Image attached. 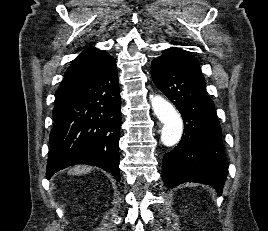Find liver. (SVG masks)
<instances>
[{"mask_svg":"<svg viewBox=\"0 0 268 231\" xmlns=\"http://www.w3.org/2000/svg\"><path fill=\"white\" fill-rule=\"evenodd\" d=\"M92 167L90 166H85V165H77L74 166L69 170V173L72 175H81V174H87L91 172Z\"/></svg>","mask_w":268,"mask_h":231,"instance_id":"6515ba94","label":"liver"}]
</instances>
